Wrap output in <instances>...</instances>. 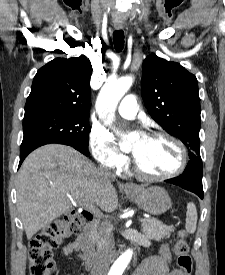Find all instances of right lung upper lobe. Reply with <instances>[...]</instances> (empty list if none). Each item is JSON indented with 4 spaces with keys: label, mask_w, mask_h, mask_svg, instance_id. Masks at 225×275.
I'll return each instance as SVG.
<instances>
[{
    "label": "right lung upper lobe",
    "mask_w": 225,
    "mask_h": 275,
    "mask_svg": "<svg viewBox=\"0 0 225 275\" xmlns=\"http://www.w3.org/2000/svg\"><path fill=\"white\" fill-rule=\"evenodd\" d=\"M91 62L79 58H56L34 77L25 115L38 113H89Z\"/></svg>",
    "instance_id": "cb5924a9"
}]
</instances>
